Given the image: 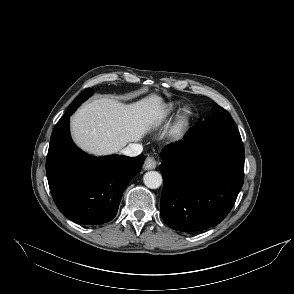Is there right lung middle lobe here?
I'll return each mask as SVG.
<instances>
[{
    "label": "right lung middle lobe",
    "instance_id": "obj_1",
    "mask_svg": "<svg viewBox=\"0 0 294 294\" xmlns=\"http://www.w3.org/2000/svg\"><path fill=\"white\" fill-rule=\"evenodd\" d=\"M85 93L82 92L78 97H76L73 102L69 105L67 111L65 112L64 116L74 113V111L84 102L86 98H84Z\"/></svg>",
    "mask_w": 294,
    "mask_h": 294
}]
</instances>
